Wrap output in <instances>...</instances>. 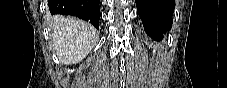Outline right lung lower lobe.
<instances>
[{
    "label": "right lung lower lobe",
    "instance_id": "1",
    "mask_svg": "<svg viewBox=\"0 0 227 88\" xmlns=\"http://www.w3.org/2000/svg\"><path fill=\"white\" fill-rule=\"evenodd\" d=\"M100 0H49L52 14L73 15L90 22L99 29Z\"/></svg>",
    "mask_w": 227,
    "mask_h": 88
}]
</instances>
